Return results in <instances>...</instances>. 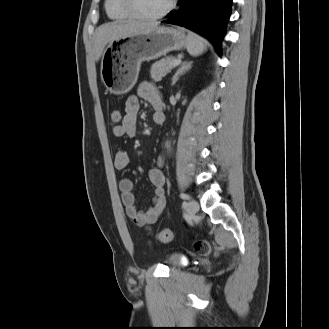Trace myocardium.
<instances>
[{"label": "myocardium", "instance_id": "myocardium-1", "mask_svg": "<svg viewBox=\"0 0 329 329\" xmlns=\"http://www.w3.org/2000/svg\"><path fill=\"white\" fill-rule=\"evenodd\" d=\"M121 6L132 18L143 22H155L166 17L175 7V0H169L167 7L152 16L142 14L136 7L134 0H120Z\"/></svg>", "mask_w": 329, "mask_h": 329}]
</instances>
